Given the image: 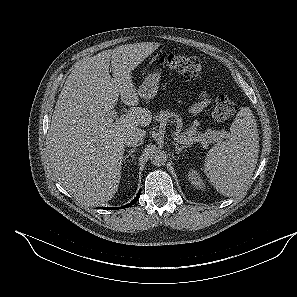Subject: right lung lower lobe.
I'll use <instances>...</instances> for the list:
<instances>
[{
    "mask_svg": "<svg viewBox=\"0 0 297 297\" xmlns=\"http://www.w3.org/2000/svg\"><path fill=\"white\" fill-rule=\"evenodd\" d=\"M140 193H141V190L139 191V193L137 194V196L133 199V201H131L129 204H127V205H125V206H122V207L115 208V209H121V208H127V207H130L131 205H133L134 203L137 202V200L139 199ZM103 209H110V208H108V207H103ZM111 209H114V208H111Z\"/></svg>",
    "mask_w": 297,
    "mask_h": 297,
    "instance_id": "1",
    "label": "right lung lower lobe"
}]
</instances>
